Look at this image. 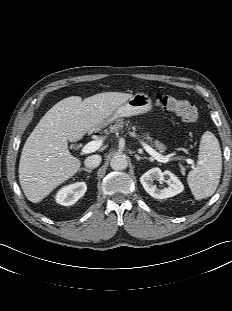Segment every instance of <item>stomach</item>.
Here are the masks:
<instances>
[{
  "label": "stomach",
  "mask_w": 232,
  "mask_h": 311,
  "mask_svg": "<svg viewBox=\"0 0 232 311\" xmlns=\"http://www.w3.org/2000/svg\"><path fill=\"white\" fill-rule=\"evenodd\" d=\"M152 109L151 98L144 93H137L120 105L98 128L106 126L121 117H131L147 113Z\"/></svg>",
  "instance_id": "obj_1"
}]
</instances>
